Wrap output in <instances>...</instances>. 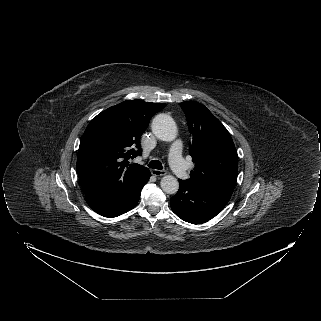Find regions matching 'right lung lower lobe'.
<instances>
[{
	"label": "right lung lower lobe",
	"instance_id": "98d812e1",
	"mask_svg": "<svg viewBox=\"0 0 321 321\" xmlns=\"http://www.w3.org/2000/svg\"><path fill=\"white\" fill-rule=\"evenodd\" d=\"M150 178V172L130 186L108 187L86 194L89 206L104 217H117L135 207L142 187Z\"/></svg>",
	"mask_w": 321,
	"mask_h": 321
}]
</instances>
